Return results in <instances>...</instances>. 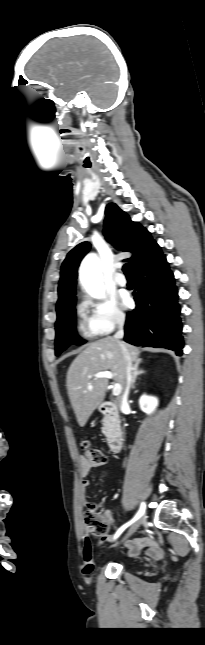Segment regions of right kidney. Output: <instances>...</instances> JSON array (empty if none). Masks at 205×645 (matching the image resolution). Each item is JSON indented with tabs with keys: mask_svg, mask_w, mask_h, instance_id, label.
<instances>
[{
	"mask_svg": "<svg viewBox=\"0 0 205 645\" xmlns=\"http://www.w3.org/2000/svg\"><path fill=\"white\" fill-rule=\"evenodd\" d=\"M139 405L143 412L150 415L157 407L158 400L155 397L147 396L144 394L139 399Z\"/></svg>",
	"mask_w": 205,
	"mask_h": 645,
	"instance_id": "1",
	"label": "right kidney"
}]
</instances>
